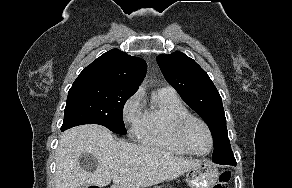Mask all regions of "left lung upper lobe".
<instances>
[{
    "mask_svg": "<svg viewBox=\"0 0 292 188\" xmlns=\"http://www.w3.org/2000/svg\"><path fill=\"white\" fill-rule=\"evenodd\" d=\"M157 62L167 82L210 128L214 139L212 160L218 163L230 159L233 153L222 99L207 73L182 52L158 55Z\"/></svg>",
    "mask_w": 292,
    "mask_h": 188,
    "instance_id": "obj_1",
    "label": "left lung upper lobe"
}]
</instances>
